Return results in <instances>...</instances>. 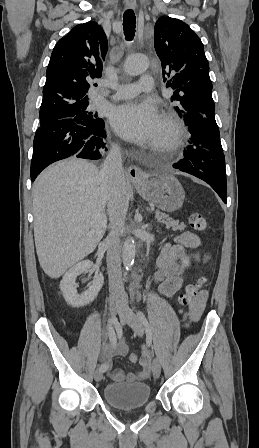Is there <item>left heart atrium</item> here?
Listing matches in <instances>:
<instances>
[{"label":"left heart atrium","mask_w":259,"mask_h":448,"mask_svg":"<svg viewBox=\"0 0 259 448\" xmlns=\"http://www.w3.org/2000/svg\"><path fill=\"white\" fill-rule=\"evenodd\" d=\"M110 122L118 135L136 143L153 138L162 124L157 106L149 101H132L115 107Z\"/></svg>","instance_id":"1"}]
</instances>
